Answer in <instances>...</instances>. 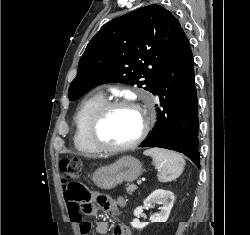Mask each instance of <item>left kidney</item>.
<instances>
[{
	"label": "left kidney",
	"instance_id": "obj_1",
	"mask_svg": "<svg viewBox=\"0 0 250 235\" xmlns=\"http://www.w3.org/2000/svg\"><path fill=\"white\" fill-rule=\"evenodd\" d=\"M174 194L169 190L157 189L152 192L145 200L144 206H139L134 210V216L137 217L131 222V226L136 229H143L148 223L140 222L139 216L143 208L151 207L153 204L161 205L160 211L151 217V222H166L174 204Z\"/></svg>",
	"mask_w": 250,
	"mask_h": 235
}]
</instances>
